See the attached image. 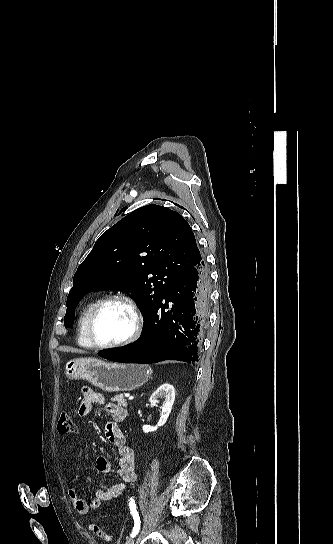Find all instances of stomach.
<instances>
[{
	"mask_svg": "<svg viewBox=\"0 0 333 544\" xmlns=\"http://www.w3.org/2000/svg\"><path fill=\"white\" fill-rule=\"evenodd\" d=\"M68 379H83L106 392L131 391L148 381L152 370L148 365L107 363L95 358L73 359L66 362Z\"/></svg>",
	"mask_w": 333,
	"mask_h": 544,
	"instance_id": "stomach-1",
	"label": "stomach"
}]
</instances>
